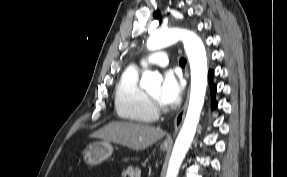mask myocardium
<instances>
[{"label":"myocardium","instance_id":"obj_1","mask_svg":"<svg viewBox=\"0 0 287 177\" xmlns=\"http://www.w3.org/2000/svg\"><path fill=\"white\" fill-rule=\"evenodd\" d=\"M146 94L154 111L159 113H164L167 111V108L163 104H161L155 97H153L149 93Z\"/></svg>","mask_w":287,"mask_h":177}]
</instances>
